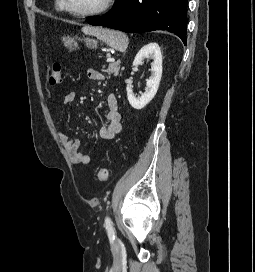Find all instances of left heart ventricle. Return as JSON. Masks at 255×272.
I'll return each instance as SVG.
<instances>
[{"instance_id":"b2bd125f","label":"left heart ventricle","mask_w":255,"mask_h":272,"mask_svg":"<svg viewBox=\"0 0 255 272\" xmlns=\"http://www.w3.org/2000/svg\"><path fill=\"white\" fill-rule=\"evenodd\" d=\"M104 0H68V4L74 11L88 12L99 8Z\"/></svg>"}]
</instances>
